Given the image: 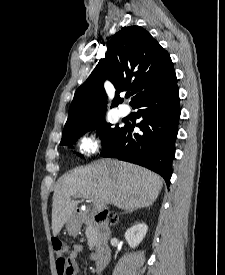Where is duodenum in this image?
Listing matches in <instances>:
<instances>
[{"mask_svg": "<svg viewBox=\"0 0 225 275\" xmlns=\"http://www.w3.org/2000/svg\"><path fill=\"white\" fill-rule=\"evenodd\" d=\"M99 214V213H98ZM97 214V215H98ZM97 215L94 219L84 217L85 225L92 223L94 231L96 234V253H95V263L96 268L101 270L105 268L111 258V247L108 244V240L111 236L110 230L107 224L97 218Z\"/></svg>", "mask_w": 225, "mask_h": 275, "instance_id": "duodenum-1", "label": "duodenum"}]
</instances>
